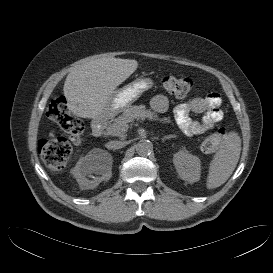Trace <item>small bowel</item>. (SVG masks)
<instances>
[{
  "label": "small bowel",
  "instance_id": "small-bowel-1",
  "mask_svg": "<svg viewBox=\"0 0 273 273\" xmlns=\"http://www.w3.org/2000/svg\"><path fill=\"white\" fill-rule=\"evenodd\" d=\"M221 96L211 92L204 97H196L189 102L181 104L175 111V118L181 129L190 136H201L209 132L223 119L220 109ZM151 107L158 113H163L169 108V101L163 95H156L151 100ZM191 113H201L200 120H193Z\"/></svg>",
  "mask_w": 273,
  "mask_h": 273
}]
</instances>
